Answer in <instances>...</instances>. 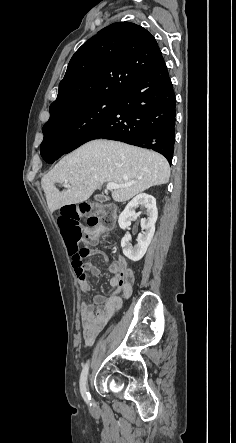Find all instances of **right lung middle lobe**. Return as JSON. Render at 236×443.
Instances as JSON below:
<instances>
[{
    "mask_svg": "<svg viewBox=\"0 0 236 443\" xmlns=\"http://www.w3.org/2000/svg\"><path fill=\"white\" fill-rule=\"evenodd\" d=\"M118 96L98 95L64 112L50 116L43 127L46 146H67L72 137L84 132L111 108Z\"/></svg>",
    "mask_w": 236,
    "mask_h": 443,
    "instance_id": "1",
    "label": "right lung middle lobe"
}]
</instances>
